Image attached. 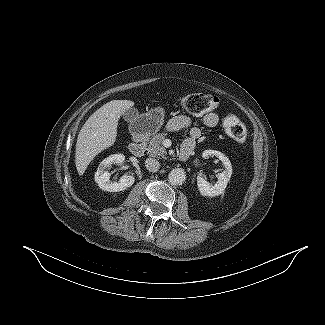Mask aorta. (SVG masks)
Here are the masks:
<instances>
[{"label": "aorta", "mask_w": 325, "mask_h": 325, "mask_svg": "<svg viewBox=\"0 0 325 325\" xmlns=\"http://www.w3.org/2000/svg\"><path fill=\"white\" fill-rule=\"evenodd\" d=\"M168 178L172 185H180L186 179V172L182 168H175L170 171Z\"/></svg>", "instance_id": "obj_1"}]
</instances>
